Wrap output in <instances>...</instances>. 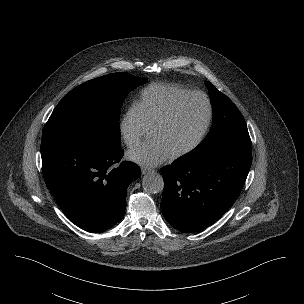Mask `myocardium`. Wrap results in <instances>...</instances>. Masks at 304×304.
<instances>
[{
    "instance_id": "obj_1",
    "label": "myocardium",
    "mask_w": 304,
    "mask_h": 304,
    "mask_svg": "<svg viewBox=\"0 0 304 304\" xmlns=\"http://www.w3.org/2000/svg\"><path fill=\"white\" fill-rule=\"evenodd\" d=\"M199 97L202 98L207 107V115H206V120L203 125L202 130L200 131L199 135L197 138L187 147L184 149L172 154V158L178 159L184 156L189 155L193 151H195L205 140L207 137L209 130L212 125L213 121V115H214V110H213V104L209 96L201 91H190L180 97H178L176 100L172 102V104L167 108V110L158 118V120L154 123V125L151 127L152 132L156 130L157 128L161 127L162 125L166 124L175 114L177 109L180 107V105L185 102L186 100L190 98H195Z\"/></svg>"
}]
</instances>
